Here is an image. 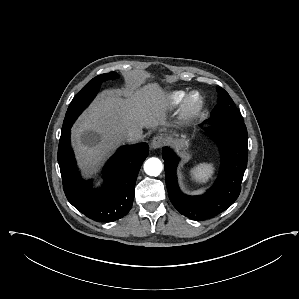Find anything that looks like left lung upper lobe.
I'll use <instances>...</instances> for the list:
<instances>
[{
  "label": "left lung upper lobe",
  "mask_w": 299,
  "mask_h": 299,
  "mask_svg": "<svg viewBox=\"0 0 299 299\" xmlns=\"http://www.w3.org/2000/svg\"><path fill=\"white\" fill-rule=\"evenodd\" d=\"M211 116H228L243 120L231 97L221 87L218 89L217 105L212 110Z\"/></svg>",
  "instance_id": "obj_1"
}]
</instances>
